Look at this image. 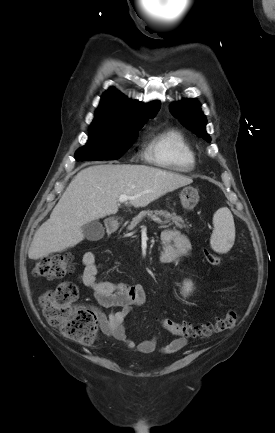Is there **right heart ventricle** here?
I'll return each mask as SVG.
<instances>
[{"label": "right heart ventricle", "mask_w": 275, "mask_h": 433, "mask_svg": "<svg viewBox=\"0 0 275 433\" xmlns=\"http://www.w3.org/2000/svg\"><path fill=\"white\" fill-rule=\"evenodd\" d=\"M146 155L152 163L187 172L195 166V153L185 136L176 129H168L157 134L149 143Z\"/></svg>", "instance_id": "obj_1"}]
</instances>
